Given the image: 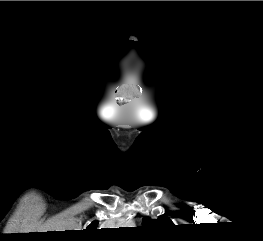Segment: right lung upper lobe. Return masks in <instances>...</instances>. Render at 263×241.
Wrapping results in <instances>:
<instances>
[{
	"label": "right lung upper lobe",
	"mask_w": 263,
	"mask_h": 241,
	"mask_svg": "<svg viewBox=\"0 0 263 241\" xmlns=\"http://www.w3.org/2000/svg\"><path fill=\"white\" fill-rule=\"evenodd\" d=\"M97 225H98V221L95 220V221H93V222L87 227V229L95 228V227H97Z\"/></svg>",
	"instance_id": "obj_1"
}]
</instances>
